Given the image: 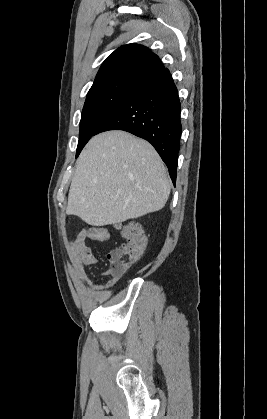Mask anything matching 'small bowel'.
<instances>
[{
	"mask_svg": "<svg viewBox=\"0 0 267 419\" xmlns=\"http://www.w3.org/2000/svg\"><path fill=\"white\" fill-rule=\"evenodd\" d=\"M109 237L108 231L103 227H89L81 230L73 239L69 242V251L71 261L74 267L76 276L82 280L85 285L95 293H101L112 288L117 280L118 276L112 274L110 271L104 273L109 276L110 279L105 284H95L88 272L87 268L97 263L91 247L86 244V239H92L98 242H103Z\"/></svg>",
	"mask_w": 267,
	"mask_h": 419,
	"instance_id": "c3829d8e",
	"label": "small bowel"
}]
</instances>
